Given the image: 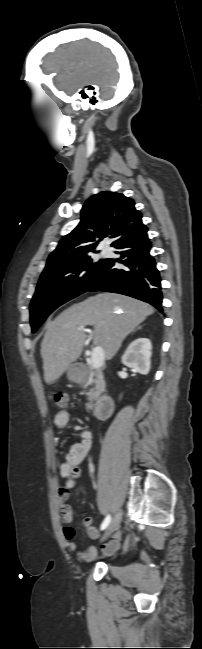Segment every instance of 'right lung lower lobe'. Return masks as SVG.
<instances>
[{"instance_id": "right-lung-lower-lobe-1", "label": "right lung lower lobe", "mask_w": 202, "mask_h": 649, "mask_svg": "<svg viewBox=\"0 0 202 649\" xmlns=\"http://www.w3.org/2000/svg\"><path fill=\"white\" fill-rule=\"evenodd\" d=\"M127 266L118 269L116 261L108 260L86 292L106 291L120 293L150 303L163 312L161 279L156 262L150 254L151 242L147 228L131 235L114 246Z\"/></svg>"}]
</instances>
